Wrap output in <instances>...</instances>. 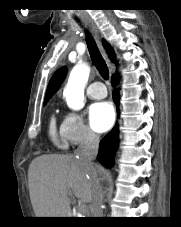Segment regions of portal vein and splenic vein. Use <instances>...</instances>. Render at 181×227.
Instances as JSON below:
<instances>
[{
  "mask_svg": "<svg viewBox=\"0 0 181 227\" xmlns=\"http://www.w3.org/2000/svg\"><path fill=\"white\" fill-rule=\"evenodd\" d=\"M81 210H82V211H85V210H86V206H85V205H82V206H81Z\"/></svg>",
  "mask_w": 181,
  "mask_h": 227,
  "instance_id": "18ae733b",
  "label": "portal vein and splenic vein"
}]
</instances>
